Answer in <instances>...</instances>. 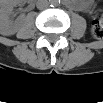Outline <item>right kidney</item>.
Listing matches in <instances>:
<instances>
[{
  "label": "right kidney",
  "instance_id": "obj_1",
  "mask_svg": "<svg viewBox=\"0 0 103 103\" xmlns=\"http://www.w3.org/2000/svg\"><path fill=\"white\" fill-rule=\"evenodd\" d=\"M18 0H4L0 5V33L4 36L15 34L19 29L18 22L10 20L14 7L18 5Z\"/></svg>",
  "mask_w": 103,
  "mask_h": 103
}]
</instances>
